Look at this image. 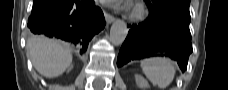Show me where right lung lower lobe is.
<instances>
[{
  "label": "right lung lower lobe",
  "instance_id": "right-lung-lower-lobe-1",
  "mask_svg": "<svg viewBox=\"0 0 228 90\" xmlns=\"http://www.w3.org/2000/svg\"><path fill=\"white\" fill-rule=\"evenodd\" d=\"M27 26L34 34L70 42L83 54L105 19L93 0H34Z\"/></svg>",
  "mask_w": 228,
  "mask_h": 90
}]
</instances>
